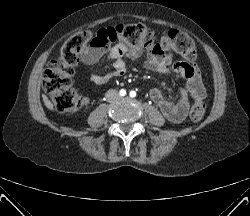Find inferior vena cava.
I'll use <instances>...</instances> for the list:
<instances>
[{
    "instance_id": "obj_1",
    "label": "inferior vena cava",
    "mask_w": 250,
    "mask_h": 216,
    "mask_svg": "<svg viewBox=\"0 0 250 216\" xmlns=\"http://www.w3.org/2000/svg\"><path fill=\"white\" fill-rule=\"evenodd\" d=\"M106 98L108 101H113L119 98V94L116 90H108L106 93Z\"/></svg>"
}]
</instances>
